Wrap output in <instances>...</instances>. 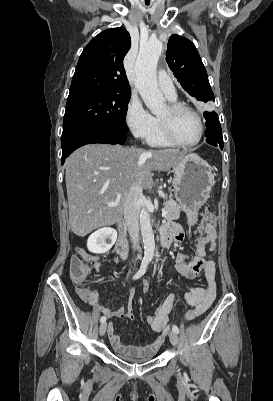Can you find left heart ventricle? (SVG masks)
Here are the masks:
<instances>
[{
  "mask_svg": "<svg viewBox=\"0 0 273 401\" xmlns=\"http://www.w3.org/2000/svg\"><path fill=\"white\" fill-rule=\"evenodd\" d=\"M171 122L175 135L183 142H193L200 135V124L187 111H171L168 105L159 115Z\"/></svg>",
  "mask_w": 273,
  "mask_h": 401,
  "instance_id": "left-heart-ventricle-1",
  "label": "left heart ventricle"
}]
</instances>
